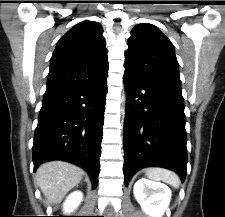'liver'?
Returning <instances> with one entry per match:
<instances>
[{
  "label": "liver",
  "instance_id": "6515ba94",
  "mask_svg": "<svg viewBox=\"0 0 225 217\" xmlns=\"http://www.w3.org/2000/svg\"><path fill=\"white\" fill-rule=\"evenodd\" d=\"M83 176V170L64 161L46 162L36 171V181L48 204L60 203Z\"/></svg>",
  "mask_w": 225,
  "mask_h": 217
}]
</instances>
